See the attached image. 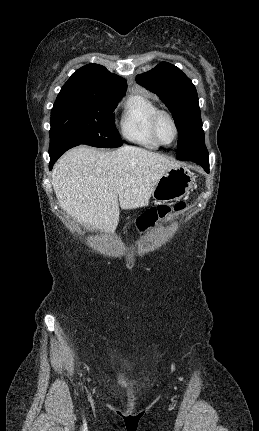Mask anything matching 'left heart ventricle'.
I'll return each mask as SVG.
<instances>
[{
	"label": "left heart ventricle",
	"instance_id": "1",
	"mask_svg": "<svg viewBox=\"0 0 259 431\" xmlns=\"http://www.w3.org/2000/svg\"><path fill=\"white\" fill-rule=\"evenodd\" d=\"M158 134L160 139L169 143L173 139L174 130L170 120L167 117H161L158 123Z\"/></svg>",
	"mask_w": 259,
	"mask_h": 431
}]
</instances>
